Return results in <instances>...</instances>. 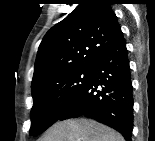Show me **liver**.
I'll return each mask as SVG.
<instances>
[{"mask_svg":"<svg viewBox=\"0 0 155 141\" xmlns=\"http://www.w3.org/2000/svg\"><path fill=\"white\" fill-rule=\"evenodd\" d=\"M41 141H124V138L95 120L81 118L54 124Z\"/></svg>","mask_w":155,"mask_h":141,"instance_id":"obj_1","label":"liver"}]
</instances>
